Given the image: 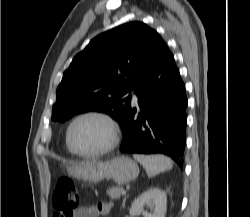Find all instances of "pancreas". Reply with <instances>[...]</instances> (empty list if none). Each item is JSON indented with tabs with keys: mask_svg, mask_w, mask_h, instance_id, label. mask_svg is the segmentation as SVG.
Segmentation results:
<instances>
[{
	"mask_svg": "<svg viewBox=\"0 0 250 217\" xmlns=\"http://www.w3.org/2000/svg\"><path fill=\"white\" fill-rule=\"evenodd\" d=\"M122 187H109L107 188V195L112 199H119L121 196Z\"/></svg>",
	"mask_w": 250,
	"mask_h": 217,
	"instance_id": "1",
	"label": "pancreas"
}]
</instances>
